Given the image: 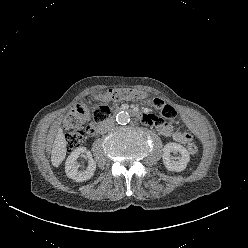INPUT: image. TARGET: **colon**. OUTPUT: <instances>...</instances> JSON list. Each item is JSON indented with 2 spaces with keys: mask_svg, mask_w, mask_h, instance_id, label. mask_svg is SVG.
Instances as JSON below:
<instances>
[{
  "mask_svg": "<svg viewBox=\"0 0 248 248\" xmlns=\"http://www.w3.org/2000/svg\"><path fill=\"white\" fill-rule=\"evenodd\" d=\"M144 96V93L140 91L111 89L75 105L63 120L67 130L65 139L68 151L76 150L81 145L84 135L93 133L95 123L105 120L109 116L108 102L127 98H143ZM187 149L192 155L198 152V147L193 142L188 144Z\"/></svg>",
  "mask_w": 248,
  "mask_h": 248,
  "instance_id": "colon-1",
  "label": "colon"
}]
</instances>
